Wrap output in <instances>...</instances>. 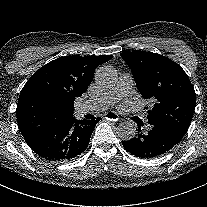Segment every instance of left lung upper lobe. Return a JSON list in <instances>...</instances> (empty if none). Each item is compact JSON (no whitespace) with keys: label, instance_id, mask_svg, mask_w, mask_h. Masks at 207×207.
<instances>
[{"label":"left lung upper lobe","instance_id":"5c2ea615","mask_svg":"<svg viewBox=\"0 0 207 207\" xmlns=\"http://www.w3.org/2000/svg\"><path fill=\"white\" fill-rule=\"evenodd\" d=\"M144 99L154 102L147 111L148 123L178 140L187 132L195 109L196 94L181 66L157 53L122 52Z\"/></svg>","mask_w":207,"mask_h":207}]
</instances>
